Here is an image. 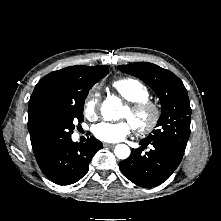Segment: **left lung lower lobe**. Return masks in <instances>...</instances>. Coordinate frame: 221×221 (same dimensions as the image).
I'll return each instance as SVG.
<instances>
[{
  "label": "left lung lower lobe",
  "instance_id": "left-lung-lower-lobe-1",
  "mask_svg": "<svg viewBox=\"0 0 221 221\" xmlns=\"http://www.w3.org/2000/svg\"><path fill=\"white\" fill-rule=\"evenodd\" d=\"M143 146L133 149L131 155L119 163L123 175L141 187H154L166 181L180 164L184 151L165 143L140 141ZM152 145L150 151L143 148Z\"/></svg>",
  "mask_w": 221,
  "mask_h": 221
}]
</instances>
